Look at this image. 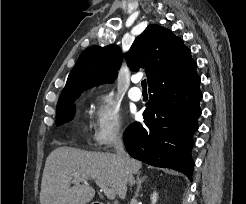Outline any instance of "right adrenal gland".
<instances>
[{
    "instance_id": "1",
    "label": "right adrenal gland",
    "mask_w": 246,
    "mask_h": 204,
    "mask_svg": "<svg viewBox=\"0 0 246 204\" xmlns=\"http://www.w3.org/2000/svg\"><path fill=\"white\" fill-rule=\"evenodd\" d=\"M140 174L141 172H138L137 173V180H136V183H137V188H136V191L134 193L135 197H142L143 195L140 194V191H141V188H142V183L147 179V176H143V177H140Z\"/></svg>"
}]
</instances>
